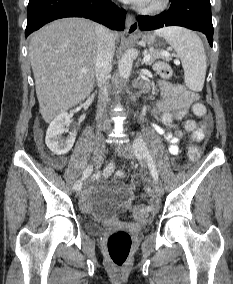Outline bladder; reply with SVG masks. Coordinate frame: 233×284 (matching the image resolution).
Wrapping results in <instances>:
<instances>
[{"mask_svg":"<svg viewBox=\"0 0 233 284\" xmlns=\"http://www.w3.org/2000/svg\"><path fill=\"white\" fill-rule=\"evenodd\" d=\"M131 197V189L121 181H102L85 194V201L99 206H117ZM98 221L86 223V230L90 234H98L103 230Z\"/></svg>","mask_w":233,"mask_h":284,"instance_id":"bladder-1","label":"bladder"}]
</instances>
